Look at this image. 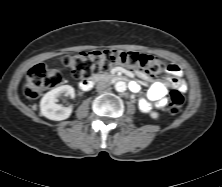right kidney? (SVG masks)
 <instances>
[{
  "label": "right kidney",
  "mask_w": 222,
  "mask_h": 187,
  "mask_svg": "<svg viewBox=\"0 0 222 187\" xmlns=\"http://www.w3.org/2000/svg\"><path fill=\"white\" fill-rule=\"evenodd\" d=\"M61 96L75 97L74 88L70 85H62L47 92L40 101L41 114L54 121L65 120L72 113V106H62L58 104Z\"/></svg>",
  "instance_id": "ca27d5eb"
}]
</instances>
